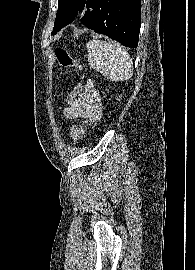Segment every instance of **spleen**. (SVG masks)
<instances>
[{
  "label": "spleen",
  "instance_id": "1",
  "mask_svg": "<svg viewBox=\"0 0 195 270\" xmlns=\"http://www.w3.org/2000/svg\"><path fill=\"white\" fill-rule=\"evenodd\" d=\"M87 49L90 67L107 79L118 82L132 77V58L119 45L93 39L87 43Z\"/></svg>",
  "mask_w": 195,
  "mask_h": 270
}]
</instances>
